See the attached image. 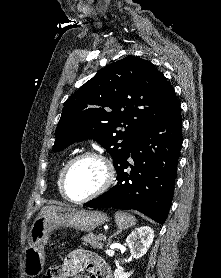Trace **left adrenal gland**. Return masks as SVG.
Wrapping results in <instances>:
<instances>
[{
	"label": "left adrenal gland",
	"mask_w": 221,
	"mask_h": 278,
	"mask_svg": "<svg viewBox=\"0 0 221 278\" xmlns=\"http://www.w3.org/2000/svg\"><path fill=\"white\" fill-rule=\"evenodd\" d=\"M119 233H120V231H117V232H115L113 235L110 236V238H109V240H108V245L111 243V239H112L114 236L118 235Z\"/></svg>",
	"instance_id": "obj_1"
}]
</instances>
